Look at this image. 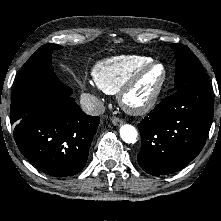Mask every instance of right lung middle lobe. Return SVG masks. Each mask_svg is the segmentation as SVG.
<instances>
[{
  "mask_svg": "<svg viewBox=\"0 0 221 221\" xmlns=\"http://www.w3.org/2000/svg\"><path fill=\"white\" fill-rule=\"evenodd\" d=\"M61 48L62 46L56 44L41 46L23 65L12 96L44 82H58L59 79L53 71L51 55L53 50Z\"/></svg>",
  "mask_w": 221,
  "mask_h": 221,
  "instance_id": "right-lung-middle-lobe-1",
  "label": "right lung middle lobe"
}]
</instances>
